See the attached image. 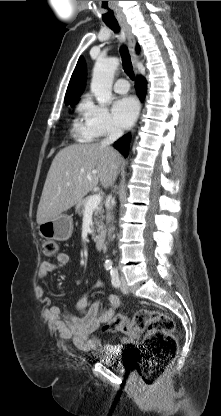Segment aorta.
Returning <instances> with one entry per match:
<instances>
[{
  "label": "aorta",
  "mask_w": 221,
  "mask_h": 416,
  "mask_svg": "<svg viewBox=\"0 0 221 416\" xmlns=\"http://www.w3.org/2000/svg\"><path fill=\"white\" fill-rule=\"evenodd\" d=\"M119 66L117 58L98 60L93 68L91 92L100 105L110 102L115 71Z\"/></svg>",
  "instance_id": "1"
}]
</instances>
